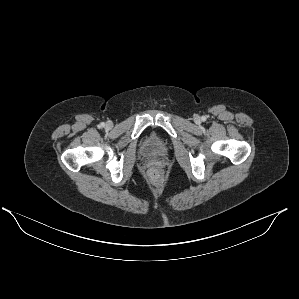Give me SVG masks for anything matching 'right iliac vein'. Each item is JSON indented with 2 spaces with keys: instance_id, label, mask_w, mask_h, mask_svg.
<instances>
[{
  "instance_id": "63e3f726",
  "label": "right iliac vein",
  "mask_w": 299,
  "mask_h": 299,
  "mask_svg": "<svg viewBox=\"0 0 299 299\" xmlns=\"http://www.w3.org/2000/svg\"><path fill=\"white\" fill-rule=\"evenodd\" d=\"M112 126H113L112 122H107V123H106V128H109V129H110Z\"/></svg>"
}]
</instances>
